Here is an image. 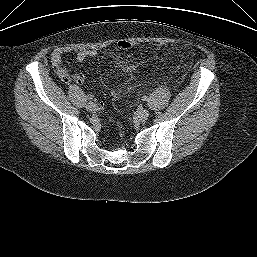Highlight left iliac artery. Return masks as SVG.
<instances>
[{
  "mask_svg": "<svg viewBox=\"0 0 257 257\" xmlns=\"http://www.w3.org/2000/svg\"><path fill=\"white\" fill-rule=\"evenodd\" d=\"M147 99H148L147 96H143V97H142V100H143V101H146Z\"/></svg>",
  "mask_w": 257,
  "mask_h": 257,
  "instance_id": "1",
  "label": "left iliac artery"
}]
</instances>
